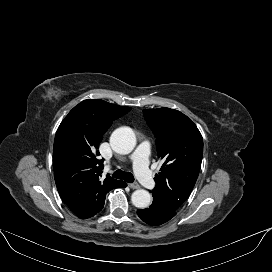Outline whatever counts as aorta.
I'll return each mask as SVG.
<instances>
[{
    "label": "aorta",
    "mask_w": 272,
    "mask_h": 272,
    "mask_svg": "<svg viewBox=\"0 0 272 272\" xmlns=\"http://www.w3.org/2000/svg\"><path fill=\"white\" fill-rule=\"evenodd\" d=\"M110 145L118 154H129L136 145V137L129 127H119L110 136ZM132 204L140 209L147 208L151 203V195L144 189H138L132 193Z\"/></svg>",
    "instance_id": "1"
}]
</instances>
